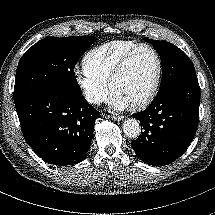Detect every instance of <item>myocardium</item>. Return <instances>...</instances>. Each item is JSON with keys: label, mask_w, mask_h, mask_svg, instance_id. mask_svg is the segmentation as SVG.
Here are the masks:
<instances>
[{"label": "myocardium", "mask_w": 215, "mask_h": 215, "mask_svg": "<svg viewBox=\"0 0 215 215\" xmlns=\"http://www.w3.org/2000/svg\"><path fill=\"white\" fill-rule=\"evenodd\" d=\"M141 48H147L153 53V55L156 59L157 67H156V73H155L154 80H153L147 94L139 102L130 105V108L132 110H142V109L146 108L153 101V99L155 98V96L157 94V91H158V88L160 85V81H161V77H162V71H163L162 59H161V56H160L159 52L157 51V49L149 43H137L136 45L131 47L119 59L117 65L114 68V70L110 76V79H109V89H110V91H112V87H113V84L115 83V81L124 72V70L126 69L128 63H129L130 59L132 58V56L134 55V53Z\"/></svg>", "instance_id": "obj_1"}]
</instances>
